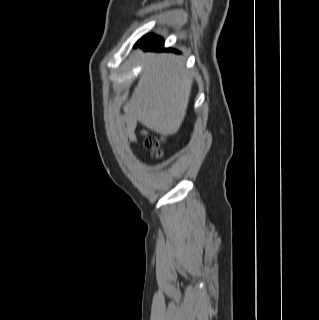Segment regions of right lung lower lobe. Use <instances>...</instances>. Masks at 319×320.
<instances>
[{
    "mask_svg": "<svg viewBox=\"0 0 319 320\" xmlns=\"http://www.w3.org/2000/svg\"><path fill=\"white\" fill-rule=\"evenodd\" d=\"M139 44L143 45V48L146 50H162L163 49V40L161 37L153 36V35H147L142 37L136 44L138 46Z\"/></svg>",
    "mask_w": 319,
    "mask_h": 320,
    "instance_id": "98d812e1",
    "label": "right lung lower lobe"
}]
</instances>
